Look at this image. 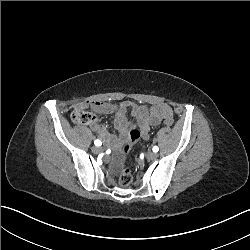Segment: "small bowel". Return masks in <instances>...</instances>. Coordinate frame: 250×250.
Masks as SVG:
<instances>
[{
	"instance_id": "obj_1",
	"label": "small bowel",
	"mask_w": 250,
	"mask_h": 250,
	"mask_svg": "<svg viewBox=\"0 0 250 250\" xmlns=\"http://www.w3.org/2000/svg\"><path fill=\"white\" fill-rule=\"evenodd\" d=\"M129 106L130 104L128 102H124L120 105L100 102H79L76 103L74 107L75 110L91 109L96 113L114 115V125L118 132V136L109 133L105 125L101 123H93L92 129L97 134L98 138L107 145L117 147L120 143L129 140L130 130L135 127L127 118ZM159 107L166 108L169 115L173 117L172 109L166 103H158L150 107L136 104L132 106V116L137 122V127L141 130V137L143 139H148L152 126L161 123L156 115V110Z\"/></svg>"
}]
</instances>
